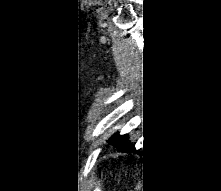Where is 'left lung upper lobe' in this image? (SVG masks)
<instances>
[{"mask_svg": "<svg viewBox=\"0 0 221 191\" xmlns=\"http://www.w3.org/2000/svg\"><path fill=\"white\" fill-rule=\"evenodd\" d=\"M109 143L116 146L120 151L134 148V145L131 143L130 136L127 134L119 135L117 133L112 138H110Z\"/></svg>", "mask_w": 221, "mask_h": 191, "instance_id": "obj_1", "label": "left lung upper lobe"}]
</instances>
